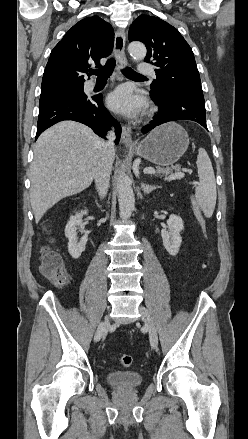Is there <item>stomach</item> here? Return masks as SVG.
<instances>
[{
    "label": "stomach",
    "instance_id": "stomach-1",
    "mask_svg": "<svg viewBox=\"0 0 248 439\" xmlns=\"http://www.w3.org/2000/svg\"><path fill=\"white\" fill-rule=\"evenodd\" d=\"M188 145L186 130L175 122H169L150 132L135 152L158 166H171L185 153Z\"/></svg>",
    "mask_w": 248,
    "mask_h": 439
}]
</instances>
